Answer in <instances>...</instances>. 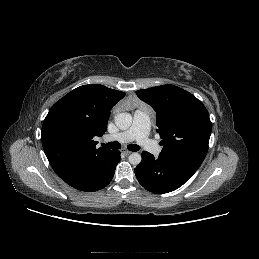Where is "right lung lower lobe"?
Wrapping results in <instances>:
<instances>
[{
	"label": "right lung lower lobe",
	"instance_id": "98d812e1",
	"mask_svg": "<svg viewBox=\"0 0 259 259\" xmlns=\"http://www.w3.org/2000/svg\"><path fill=\"white\" fill-rule=\"evenodd\" d=\"M119 160L120 152L111 151L101 159L77 166L61 178L78 190L94 192L111 182Z\"/></svg>",
	"mask_w": 259,
	"mask_h": 259
}]
</instances>
